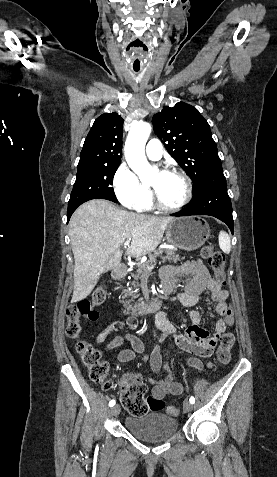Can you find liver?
I'll return each mask as SVG.
<instances>
[{
	"label": "liver",
	"instance_id": "obj_1",
	"mask_svg": "<svg viewBox=\"0 0 277 477\" xmlns=\"http://www.w3.org/2000/svg\"><path fill=\"white\" fill-rule=\"evenodd\" d=\"M174 219L128 212L103 199L82 204L69 222L74 255L71 301L86 298L100 275L119 265L120 246L126 239H131L126 255L138 258L149 254L160 244L164 231Z\"/></svg>",
	"mask_w": 277,
	"mask_h": 477
}]
</instances>
